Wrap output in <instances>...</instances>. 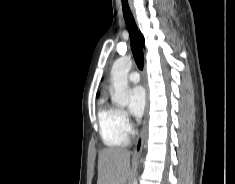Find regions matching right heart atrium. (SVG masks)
<instances>
[{"label": "right heart atrium", "instance_id": "obj_1", "mask_svg": "<svg viewBox=\"0 0 235 184\" xmlns=\"http://www.w3.org/2000/svg\"><path fill=\"white\" fill-rule=\"evenodd\" d=\"M118 117H119V121L122 125V127L124 128V130L129 133L132 130V125L130 122V118L127 114L126 111L123 110H118Z\"/></svg>", "mask_w": 235, "mask_h": 184}]
</instances>
